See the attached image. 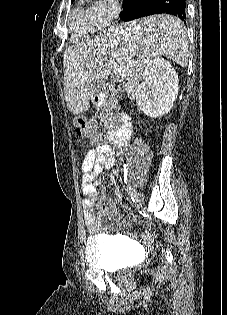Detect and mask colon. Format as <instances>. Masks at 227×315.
<instances>
[{
  "label": "colon",
  "mask_w": 227,
  "mask_h": 315,
  "mask_svg": "<svg viewBox=\"0 0 227 315\" xmlns=\"http://www.w3.org/2000/svg\"><path fill=\"white\" fill-rule=\"evenodd\" d=\"M74 126L77 134L87 138L91 145H97L102 141L101 134L91 120L83 116H76L74 119Z\"/></svg>",
  "instance_id": "obj_1"
}]
</instances>
